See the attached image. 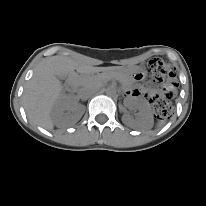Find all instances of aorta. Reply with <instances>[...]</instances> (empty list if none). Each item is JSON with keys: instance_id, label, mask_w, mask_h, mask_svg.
I'll use <instances>...</instances> for the list:
<instances>
[{"instance_id": "762f6f07", "label": "aorta", "mask_w": 206, "mask_h": 206, "mask_svg": "<svg viewBox=\"0 0 206 206\" xmlns=\"http://www.w3.org/2000/svg\"><path fill=\"white\" fill-rule=\"evenodd\" d=\"M106 94L109 96H113L116 94V88L114 86H109L106 89Z\"/></svg>"}]
</instances>
